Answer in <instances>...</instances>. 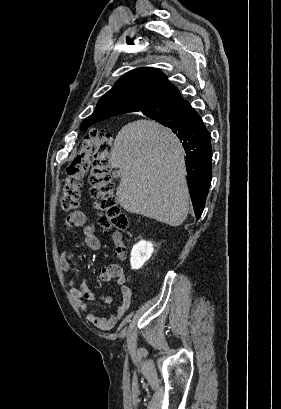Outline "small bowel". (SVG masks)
<instances>
[{
  "mask_svg": "<svg viewBox=\"0 0 281 409\" xmlns=\"http://www.w3.org/2000/svg\"><path fill=\"white\" fill-rule=\"evenodd\" d=\"M66 225L69 228L84 227V240L86 245L93 251L100 249V240L94 232L93 226L87 221L85 214L78 210L69 214L66 219ZM78 267L79 264L73 261V254L70 250H65L61 256V265L63 270L68 271L71 265ZM101 281L115 280L120 285L119 302L115 311L108 317H102L95 312H87V320L102 331L111 330L116 323L127 312L132 298V290L126 285V274L124 269L119 264H109L103 267L99 273ZM70 292L75 300V303L82 310H87L88 302L99 301L104 304L112 302L110 296L95 294L85 282L81 285H75L74 281L70 282Z\"/></svg>",
  "mask_w": 281,
  "mask_h": 409,
  "instance_id": "1",
  "label": "small bowel"
}]
</instances>
